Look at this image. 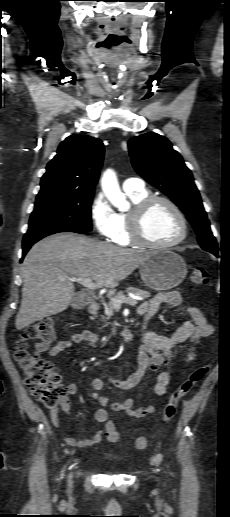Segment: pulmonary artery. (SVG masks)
Listing matches in <instances>:
<instances>
[{"label": "pulmonary artery", "instance_id": "1", "mask_svg": "<svg viewBox=\"0 0 230 517\" xmlns=\"http://www.w3.org/2000/svg\"><path fill=\"white\" fill-rule=\"evenodd\" d=\"M125 192L142 191L145 189L144 181L140 178H128L122 184Z\"/></svg>", "mask_w": 230, "mask_h": 517}]
</instances>
